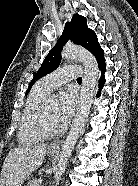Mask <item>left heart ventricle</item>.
Segmentation results:
<instances>
[{
	"mask_svg": "<svg viewBox=\"0 0 138 186\" xmlns=\"http://www.w3.org/2000/svg\"><path fill=\"white\" fill-rule=\"evenodd\" d=\"M43 122L49 131H57L63 127L57 114V102L48 101Z\"/></svg>",
	"mask_w": 138,
	"mask_h": 186,
	"instance_id": "1",
	"label": "left heart ventricle"
}]
</instances>
